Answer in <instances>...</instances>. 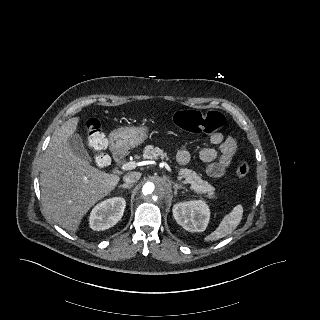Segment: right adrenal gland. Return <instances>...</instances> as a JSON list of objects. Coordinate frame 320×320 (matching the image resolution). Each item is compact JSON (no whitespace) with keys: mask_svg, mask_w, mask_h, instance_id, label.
<instances>
[{"mask_svg":"<svg viewBox=\"0 0 320 320\" xmlns=\"http://www.w3.org/2000/svg\"><path fill=\"white\" fill-rule=\"evenodd\" d=\"M133 187V184H122L119 186V188H126V189H130Z\"/></svg>","mask_w":320,"mask_h":320,"instance_id":"right-adrenal-gland-1","label":"right adrenal gland"}]
</instances>
